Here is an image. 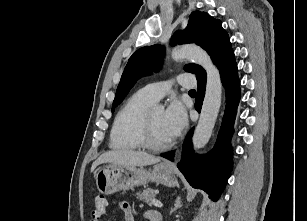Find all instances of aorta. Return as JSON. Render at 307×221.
<instances>
[{"label":"aorta","mask_w":307,"mask_h":221,"mask_svg":"<svg viewBox=\"0 0 307 221\" xmlns=\"http://www.w3.org/2000/svg\"><path fill=\"white\" fill-rule=\"evenodd\" d=\"M171 57L174 61L190 60L197 63L207 73L205 97L192 138L194 149L199 150L209 141L221 106L222 84L220 73L207 52L194 45H184L173 49Z\"/></svg>","instance_id":"1"}]
</instances>
